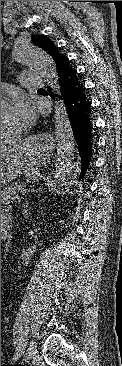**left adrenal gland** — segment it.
<instances>
[{
    "instance_id": "a2214340",
    "label": "left adrenal gland",
    "mask_w": 122,
    "mask_h": 366,
    "mask_svg": "<svg viewBox=\"0 0 122 366\" xmlns=\"http://www.w3.org/2000/svg\"><path fill=\"white\" fill-rule=\"evenodd\" d=\"M29 192H30V190H29ZM28 205H29V203H28V201H26L25 204L23 205V207L28 208ZM24 211H25V213H27L28 209H26Z\"/></svg>"
}]
</instances>
